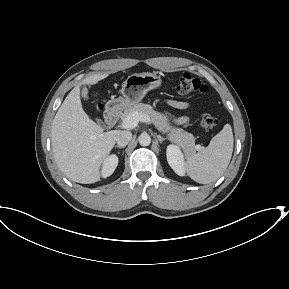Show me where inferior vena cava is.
Instances as JSON below:
<instances>
[{"mask_svg": "<svg viewBox=\"0 0 289 289\" xmlns=\"http://www.w3.org/2000/svg\"><path fill=\"white\" fill-rule=\"evenodd\" d=\"M132 139L130 131H120L117 135L116 142L118 146L125 147Z\"/></svg>", "mask_w": 289, "mask_h": 289, "instance_id": "inferior-vena-cava-1", "label": "inferior vena cava"}]
</instances>
